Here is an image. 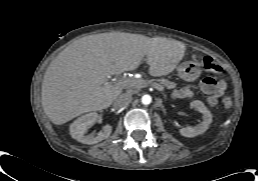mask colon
<instances>
[{
    "label": "colon",
    "mask_w": 258,
    "mask_h": 181,
    "mask_svg": "<svg viewBox=\"0 0 258 181\" xmlns=\"http://www.w3.org/2000/svg\"><path fill=\"white\" fill-rule=\"evenodd\" d=\"M204 67L207 69L209 72L213 73H221L222 68L219 66L217 63H215L212 59H205L204 61ZM223 106L225 108H229L232 105V99L230 96L225 95L222 99Z\"/></svg>",
    "instance_id": "colon-1"
}]
</instances>
